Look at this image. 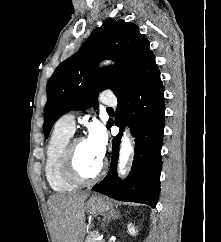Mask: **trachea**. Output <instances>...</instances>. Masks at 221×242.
Listing matches in <instances>:
<instances>
[{
    "label": "trachea",
    "mask_w": 221,
    "mask_h": 242,
    "mask_svg": "<svg viewBox=\"0 0 221 242\" xmlns=\"http://www.w3.org/2000/svg\"><path fill=\"white\" fill-rule=\"evenodd\" d=\"M107 111H108V112H113V109L110 108V107H108V108H107Z\"/></svg>",
    "instance_id": "3493384b"
}]
</instances>
